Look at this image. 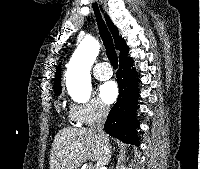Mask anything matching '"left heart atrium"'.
I'll return each mask as SVG.
<instances>
[{"label": "left heart atrium", "instance_id": "39dd6f15", "mask_svg": "<svg viewBox=\"0 0 200 169\" xmlns=\"http://www.w3.org/2000/svg\"><path fill=\"white\" fill-rule=\"evenodd\" d=\"M99 91L101 99L107 104L113 103L118 96V88L114 81L102 84Z\"/></svg>", "mask_w": 200, "mask_h": 169}]
</instances>
